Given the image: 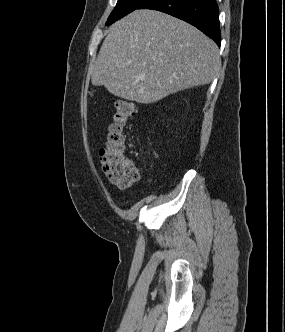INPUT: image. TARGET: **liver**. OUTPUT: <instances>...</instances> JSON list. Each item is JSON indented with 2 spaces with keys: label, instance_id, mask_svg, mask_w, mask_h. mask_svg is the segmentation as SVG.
<instances>
[{
  "label": "liver",
  "instance_id": "1",
  "mask_svg": "<svg viewBox=\"0 0 285 332\" xmlns=\"http://www.w3.org/2000/svg\"><path fill=\"white\" fill-rule=\"evenodd\" d=\"M220 64L217 45L194 26L159 11L135 10L109 28L90 73L94 86L149 104L210 83Z\"/></svg>",
  "mask_w": 285,
  "mask_h": 332
}]
</instances>
